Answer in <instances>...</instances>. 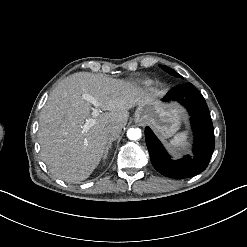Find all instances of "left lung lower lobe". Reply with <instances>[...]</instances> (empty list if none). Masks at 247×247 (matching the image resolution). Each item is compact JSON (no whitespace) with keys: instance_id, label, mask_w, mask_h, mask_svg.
I'll use <instances>...</instances> for the list:
<instances>
[{"instance_id":"1","label":"left lung lower lobe","mask_w":247,"mask_h":247,"mask_svg":"<svg viewBox=\"0 0 247 247\" xmlns=\"http://www.w3.org/2000/svg\"><path fill=\"white\" fill-rule=\"evenodd\" d=\"M162 101H178L188 110L194 132V156L187 155L182 159L172 160L151 129L146 127L145 139L151 163L164 176L193 177L207 168L215 147L214 129L206 101L191 83L172 88Z\"/></svg>"}]
</instances>
